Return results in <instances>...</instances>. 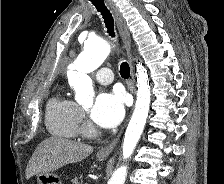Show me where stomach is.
<instances>
[{
  "instance_id": "stomach-1",
  "label": "stomach",
  "mask_w": 224,
  "mask_h": 184,
  "mask_svg": "<svg viewBox=\"0 0 224 184\" xmlns=\"http://www.w3.org/2000/svg\"><path fill=\"white\" fill-rule=\"evenodd\" d=\"M99 161H104L106 157L97 156ZM38 184H62L60 177L53 173L40 172L36 174Z\"/></svg>"
}]
</instances>
